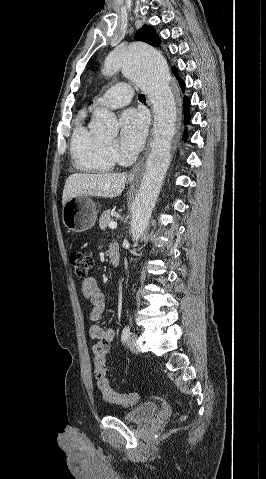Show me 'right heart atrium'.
Listing matches in <instances>:
<instances>
[{"instance_id": "obj_1", "label": "right heart atrium", "mask_w": 266, "mask_h": 479, "mask_svg": "<svg viewBox=\"0 0 266 479\" xmlns=\"http://www.w3.org/2000/svg\"><path fill=\"white\" fill-rule=\"evenodd\" d=\"M111 154H112L113 156H115V157H119L117 151L114 150V149H111Z\"/></svg>"}]
</instances>
